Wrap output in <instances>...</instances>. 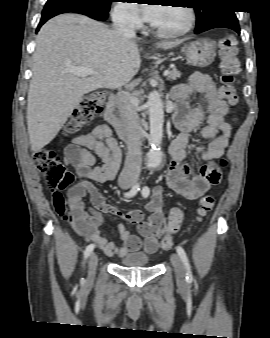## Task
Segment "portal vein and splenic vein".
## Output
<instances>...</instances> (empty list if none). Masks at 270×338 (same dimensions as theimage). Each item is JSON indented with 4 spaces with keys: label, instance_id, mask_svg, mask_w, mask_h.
<instances>
[{
    "label": "portal vein and splenic vein",
    "instance_id": "portal-vein-and-splenic-vein-1",
    "mask_svg": "<svg viewBox=\"0 0 270 338\" xmlns=\"http://www.w3.org/2000/svg\"><path fill=\"white\" fill-rule=\"evenodd\" d=\"M65 71L77 75L79 77H87L88 75L95 74L94 70L86 67H68ZM163 75L168 76L169 70H165Z\"/></svg>",
    "mask_w": 270,
    "mask_h": 338
}]
</instances>
